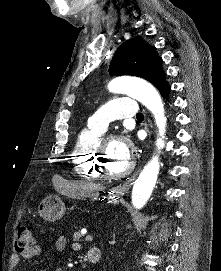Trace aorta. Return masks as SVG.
<instances>
[{"mask_svg":"<svg viewBox=\"0 0 221 271\" xmlns=\"http://www.w3.org/2000/svg\"><path fill=\"white\" fill-rule=\"evenodd\" d=\"M108 89L113 93L127 94L141 102L154 116L158 127L155 145L158 152L163 149L167 118L164 105L158 91L148 82L129 77H118L110 81ZM160 170L159 155H154L144 166L132 190V204L141 209L147 203L155 187Z\"/></svg>","mask_w":221,"mask_h":271,"instance_id":"obj_1","label":"aorta"}]
</instances>
